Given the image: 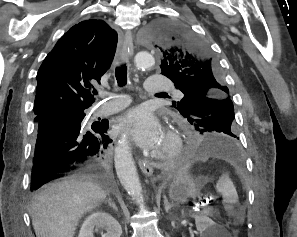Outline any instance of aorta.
<instances>
[{
	"instance_id": "aorta-1",
	"label": "aorta",
	"mask_w": 297,
	"mask_h": 237,
	"mask_svg": "<svg viewBox=\"0 0 297 237\" xmlns=\"http://www.w3.org/2000/svg\"><path fill=\"white\" fill-rule=\"evenodd\" d=\"M154 64V57L150 53L139 52L135 56V65L138 69H148ZM114 159L117 175L124 189L133 199L141 202L143 200L142 187L126 134L122 135L118 141Z\"/></svg>"
}]
</instances>
